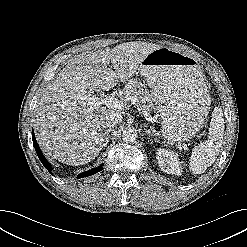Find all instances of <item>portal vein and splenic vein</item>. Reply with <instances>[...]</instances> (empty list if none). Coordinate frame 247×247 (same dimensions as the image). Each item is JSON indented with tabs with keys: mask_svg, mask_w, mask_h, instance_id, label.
Returning <instances> with one entry per match:
<instances>
[{
	"mask_svg": "<svg viewBox=\"0 0 247 247\" xmlns=\"http://www.w3.org/2000/svg\"><path fill=\"white\" fill-rule=\"evenodd\" d=\"M94 105L95 106H101V105H105L108 108L111 109H118V110H122L125 108L126 104L124 103L123 100H119L117 98H115L114 96H110V95H104L103 97H94L92 98ZM132 104H136L138 103V99L134 96L128 98ZM144 117L150 121V119L148 118L147 113L143 112Z\"/></svg>",
	"mask_w": 247,
	"mask_h": 247,
	"instance_id": "obj_1",
	"label": "portal vein and splenic vein"
}]
</instances>
